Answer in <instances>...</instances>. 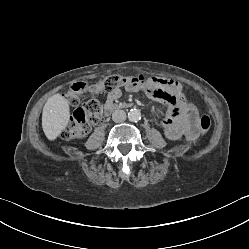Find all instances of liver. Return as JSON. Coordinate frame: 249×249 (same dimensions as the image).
Here are the masks:
<instances>
[{
	"mask_svg": "<svg viewBox=\"0 0 249 249\" xmlns=\"http://www.w3.org/2000/svg\"><path fill=\"white\" fill-rule=\"evenodd\" d=\"M70 107L68 100L61 94L51 96L42 112V128L49 140H55L69 122Z\"/></svg>",
	"mask_w": 249,
	"mask_h": 249,
	"instance_id": "obj_1",
	"label": "liver"
}]
</instances>
